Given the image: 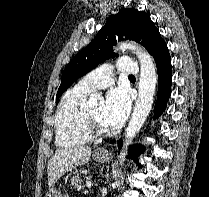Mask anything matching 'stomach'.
Listing matches in <instances>:
<instances>
[{"instance_id": "1", "label": "stomach", "mask_w": 209, "mask_h": 197, "mask_svg": "<svg viewBox=\"0 0 209 197\" xmlns=\"http://www.w3.org/2000/svg\"><path fill=\"white\" fill-rule=\"evenodd\" d=\"M109 158L108 153H94V159L98 162L106 161ZM45 197H68L64 194H61L54 188H50L49 191L46 193Z\"/></svg>"}]
</instances>
